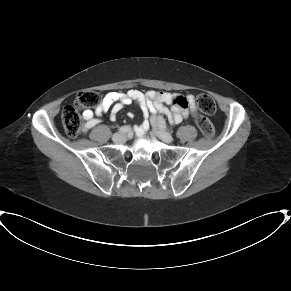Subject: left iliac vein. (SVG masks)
Segmentation results:
<instances>
[{
    "label": "left iliac vein",
    "mask_w": 291,
    "mask_h": 291,
    "mask_svg": "<svg viewBox=\"0 0 291 291\" xmlns=\"http://www.w3.org/2000/svg\"><path fill=\"white\" fill-rule=\"evenodd\" d=\"M152 127H153L154 133L163 142H165V143H172L173 142V137L171 136V134L169 132H167L166 130H164L162 128H159V126H157L153 122H152Z\"/></svg>",
    "instance_id": "obj_1"
}]
</instances>
